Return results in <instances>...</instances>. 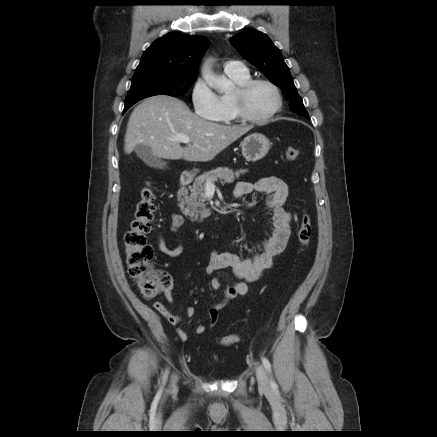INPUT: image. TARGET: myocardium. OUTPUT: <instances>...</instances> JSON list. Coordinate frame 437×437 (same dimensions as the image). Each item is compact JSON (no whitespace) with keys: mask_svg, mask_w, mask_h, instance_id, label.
I'll use <instances>...</instances> for the list:
<instances>
[{"mask_svg":"<svg viewBox=\"0 0 437 437\" xmlns=\"http://www.w3.org/2000/svg\"><path fill=\"white\" fill-rule=\"evenodd\" d=\"M259 84L269 86L273 90L276 98V104L274 108L267 115L262 117L253 116L247 110V97L250 91ZM233 103L235 111L240 120L252 124H261L271 120L281 110L283 101L281 92L275 83L268 79L256 78L249 79L236 88L235 92L233 93Z\"/></svg>","mask_w":437,"mask_h":437,"instance_id":"f54148a6","label":"myocardium"}]
</instances>
